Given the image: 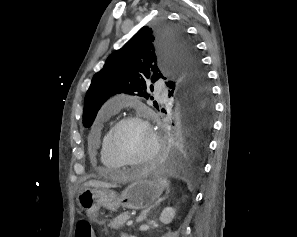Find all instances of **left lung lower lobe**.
Instances as JSON below:
<instances>
[{
  "label": "left lung lower lobe",
  "instance_id": "obj_1",
  "mask_svg": "<svg viewBox=\"0 0 297 237\" xmlns=\"http://www.w3.org/2000/svg\"><path fill=\"white\" fill-rule=\"evenodd\" d=\"M175 92H169L172 97ZM180 129L168 137L161 162L169 168H191L198 165L207 148L213 113L212 103L196 106L191 101L175 103Z\"/></svg>",
  "mask_w": 297,
  "mask_h": 237
}]
</instances>
